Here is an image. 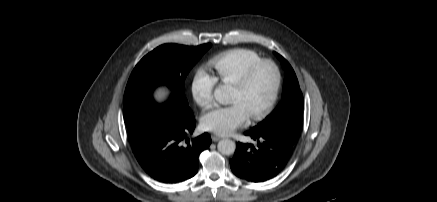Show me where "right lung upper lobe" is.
Segmentation results:
<instances>
[{"label":"right lung upper lobe","mask_w":437,"mask_h":202,"mask_svg":"<svg viewBox=\"0 0 437 202\" xmlns=\"http://www.w3.org/2000/svg\"><path fill=\"white\" fill-rule=\"evenodd\" d=\"M162 115H165V113H164V114H159V115H157L156 118L159 117V116H162Z\"/></svg>","instance_id":"right-lung-upper-lobe-1"}]
</instances>
